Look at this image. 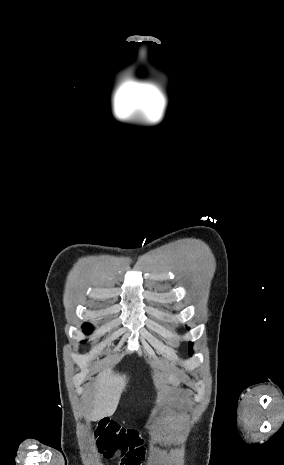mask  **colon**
I'll use <instances>...</instances> for the list:
<instances>
[{
    "mask_svg": "<svg viewBox=\"0 0 284 465\" xmlns=\"http://www.w3.org/2000/svg\"><path fill=\"white\" fill-rule=\"evenodd\" d=\"M94 448L105 459L122 457V465H140L146 455L145 441L137 430L116 422L103 425L95 435Z\"/></svg>",
    "mask_w": 284,
    "mask_h": 465,
    "instance_id": "1",
    "label": "colon"
}]
</instances>
